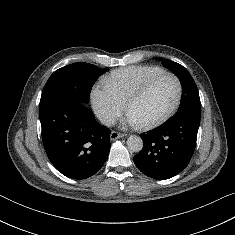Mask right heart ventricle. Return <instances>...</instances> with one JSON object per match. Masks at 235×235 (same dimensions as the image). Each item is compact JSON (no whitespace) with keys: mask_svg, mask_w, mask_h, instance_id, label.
I'll list each match as a JSON object with an SVG mask.
<instances>
[{"mask_svg":"<svg viewBox=\"0 0 235 235\" xmlns=\"http://www.w3.org/2000/svg\"><path fill=\"white\" fill-rule=\"evenodd\" d=\"M158 66L136 65L113 71L105 84L124 103L150 77L163 72Z\"/></svg>","mask_w":235,"mask_h":235,"instance_id":"e07e8e85","label":"right heart ventricle"}]
</instances>
